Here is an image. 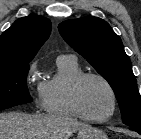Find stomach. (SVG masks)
<instances>
[{
    "instance_id": "stomach-1",
    "label": "stomach",
    "mask_w": 141,
    "mask_h": 139,
    "mask_svg": "<svg viewBox=\"0 0 141 139\" xmlns=\"http://www.w3.org/2000/svg\"><path fill=\"white\" fill-rule=\"evenodd\" d=\"M77 139H108V137L101 130L89 126L78 131Z\"/></svg>"
}]
</instances>
